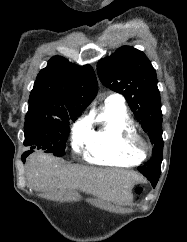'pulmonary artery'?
<instances>
[{
    "label": "pulmonary artery",
    "instance_id": "1",
    "mask_svg": "<svg viewBox=\"0 0 187 242\" xmlns=\"http://www.w3.org/2000/svg\"><path fill=\"white\" fill-rule=\"evenodd\" d=\"M107 102L123 103V98L118 94H111L106 99Z\"/></svg>",
    "mask_w": 187,
    "mask_h": 242
}]
</instances>
